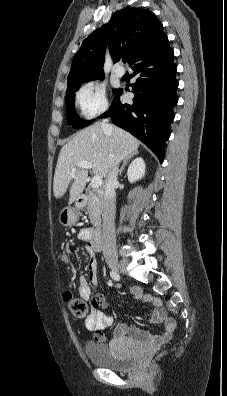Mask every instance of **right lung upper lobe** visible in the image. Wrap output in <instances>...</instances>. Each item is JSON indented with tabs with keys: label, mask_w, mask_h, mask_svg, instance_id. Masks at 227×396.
<instances>
[{
	"label": "right lung upper lobe",
	"mask_w": 227,
	"mask_h": 396,
	"mask_svg": "<svg viewBox=\"0 0 227 396\" xmlns=\"http://www.w3.org/2000/svg\"><path fill=\"white\" fill-rule=\"evenodd\" d=\"M168 42L162 23L151 11L125 8L117 11L108 24L86 38L76 53L68 75L67 90L74 85L104 75L105 43L117 61L127 55L128 64L145 51Z\"/></svg>",
	"instance_id": "1"
}]
</instances>
